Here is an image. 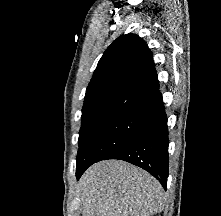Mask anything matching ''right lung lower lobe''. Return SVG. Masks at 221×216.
Here are the masks:
<instances>
[{"label": "right lung lower lobe", "mask_w": 221, "mask_h": 216, "mask_svg": "<svg viewBox=\"0 0 221 216\" xmlns=\"http://www.w3.org/2000/svg\"><path fill=\"white\" fill-rule=\"evenodd\" d=\"M167 118L161 102L149 115L144 129L105 159H119L139 166L159 180L166 190L168 177ZM104 159V160H105ZM92 165V164H91ZM90 165L76 167L77 179Z\"/></svg>", "instance_id": "1"}]
</instances>
